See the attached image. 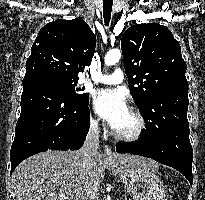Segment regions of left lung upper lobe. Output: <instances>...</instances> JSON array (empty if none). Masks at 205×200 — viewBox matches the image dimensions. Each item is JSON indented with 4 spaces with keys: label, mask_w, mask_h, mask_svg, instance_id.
I'll return each instance as SVG.
<instances>
[{
    "label": "left lung upper lobe",
    "mask_w": 205,
    "mask_h": 200,
    "mask_svg": "<svg viewBox=\"0 0 205 200\" xmlns=\"http://www.w3.org/2000/svg\"><path fill=\"white\" fill-rule=\"evenodd\" d=\"M121 49L131 94L148 129L154 124L152 116L164 111L153 108L155 93L188 89L181 47L167 27L149 23L128 28L122 35Z\"/></svg>",
    "instance_id": "obj_1"
}]
</instances>
